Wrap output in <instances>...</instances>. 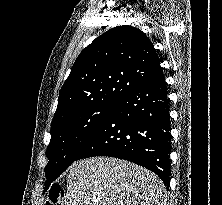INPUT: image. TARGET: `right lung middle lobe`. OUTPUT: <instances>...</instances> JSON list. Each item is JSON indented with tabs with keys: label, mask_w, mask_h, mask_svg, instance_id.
Instances as JSON below:
<instances>
[{
	"label": "right lung middle lobe",
	"mask_w": 222,
	"mask_h": 205,
	"mask_svg": "<svg viewBox=\"0 0 222 205\" xmlns=\"http://www.w3.org/2000/svg\"><path fill=\"white\" fill-rule=\"evenodd\" d=\"M120 101H107L79 110L51 124V141L46 150L45 168L49 186L74 161Z\"/></svg>",
	"instance_id": "dd1d6c3e"
}]
</instances>
